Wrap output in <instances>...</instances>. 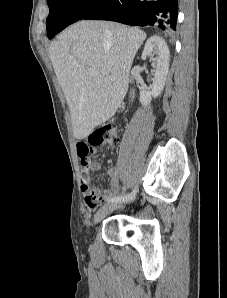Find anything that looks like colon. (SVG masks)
<instances>
[{"label":"colon","mask_w":227,"mask_h":298,"mask_svg":"<svg viewBox=\"0 0 227 298\" xmlns=\"http://www.w3.org/2000/svg\"><path fill=\"white\" fill-rule=\"evenodd\" d=\"M120 138L116 126L112 124H105L98 129L94 130L88 138L89 146L100 145H116ZM85 188V200L91 205H95L98 201V197L89 189L87 184H84Z\"/></svg>","instance_id":"colon-1"}]
</instances>
